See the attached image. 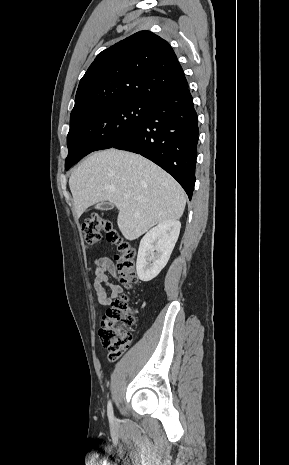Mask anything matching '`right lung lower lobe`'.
I'll list each match as a JSON object with an SVG mask.
<instances>
[{"mask_svg":"<svg viewBox=\"0 0 289 465\" xmlns=\"http://www.w3.org/2000/svg\"><path fill=\"white\" fill-rule=\"evenodd\" d=\"M198 122L188 87L159 96L149 117L113 148L131 151L171 174L191 200L195 184Z\"/></svg>","mask_w":289,"mask_h":465,"instance_id":"98d812e1","label":"right lung lower lobe"}]
</instances>
